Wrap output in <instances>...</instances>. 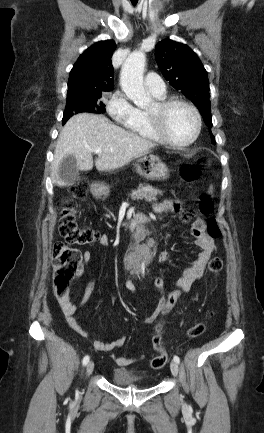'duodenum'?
<instances>
[{"instance_id":"duodenum-1","label":"duodenum","mask_w":264,"mask_h":433,"mask_svg":"<svg viewBox=\"0 0 264 433\" xmlns=\"http://www.w3.org/2000/svg\"><path fill=\"white\" fill-rule=\"evenodd\" d=\"M95 194L97 196H100L101 191L95 190ZM141 222H142V215H135L131 220L130 224L128 225V228L132 230L137 224ZM135 255L139 257V265L142 263L147 264L150 263L151 260L153 259L154 251L153 248L149 247L148 245H143L135 249ZM130 259H132V257Z\"/></svg>"}]
</instances>
